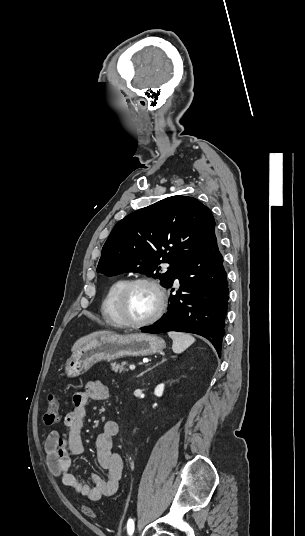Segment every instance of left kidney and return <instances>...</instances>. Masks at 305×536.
<instances>
[{
  "label": "left kidney",
  "mask_w": 305,
  "mask_h": 536,
  "mask_svg": "<svg viewBox=\"0 0 305 536\" xmlns=\"http://www.w3.org/2000/svg\"><path fill=\"white\" fill-rule=\"evenodd\" d=\"M164 388V384H159V386H156L154 390L155 396H158V398H160V396H163Z\"/></svg>",
  "instance_id": "5707ae66"
}]
</instances>
